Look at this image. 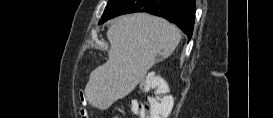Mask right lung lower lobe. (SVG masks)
<instances>
[{
  "instance_id": "right-lung-lower-lobe-1",
  "label": "right lung lower lobe",
  "mask_w": 273,
  "mask_h": 118,
  "mask_svg": "<svg viewBox=\"0 0 273 118\" xmlns=\"http://www.w3.org/2000/svg\"><path fill=\"white\" fill-rule=\"evenodd\" d=\"M195 0H121L111 14L100 20L99 24L122 14L147 12L166 18L176 24L191 39L194 19Z\"/></svg>"
}]
</instances>
